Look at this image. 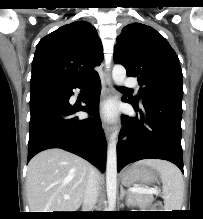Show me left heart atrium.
I'll return each instance as SVG.
<instances>
[{
	"mask_svg": "<svg viewBox=\"0 0 203 219\" xmlns=\"http://www.w3.org/2000/svg\"><path fill=\"white\" fill-rule=\"evenodd\" d=\"M114 106L109 103V104H106L104 107H103V114L106 116V117H112L114 115Z\"/></svg>",
	"mask_w": 203,
	"mask_h": 219,
	"instance_id": "39dd6f15",
	"label": "left heart atrium"
}]
</instances>
